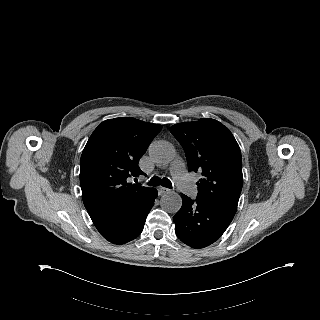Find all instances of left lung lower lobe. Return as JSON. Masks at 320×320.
<instances>
[{
    "label": "left lung lower lobe",
    "mask_w": 320,
    "mask_h": 320,
    "mask_svg": "<svg viewBox=\"0 0 320 320\" xmlns=\"http://www.w3.org/2000/svg\"><path fill=\"white\" fill-rule=\"evenodd\" d=\"M182 207L173 217L178 238L192 248L214 243L227 229L234 215L221 208L182 194Z\"/></svg>",
    "instance_id": "left-lung-lower-lobe-1"
}]
</instances>
